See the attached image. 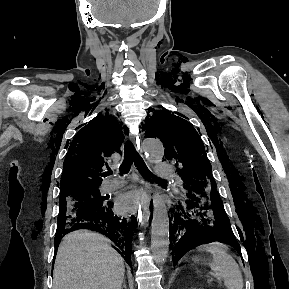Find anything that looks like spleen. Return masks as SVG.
I'll return each mask as SVG.
<instances>
[{
    "label": "spleen",
    "instance_id": "obj_1",
    "mask_svg": "<svg viewBox=\"0 0 289 289\" xmlns=\"http://www.w3.org/2000/svg\"><path fill=\"white\" fill-rule=\"evenodd\" d=\"M198 251L212 255L213 259L209 267L218 278L224 281L227 289H243V277L239 266L223 244L219 242L203 244L198 247Z\"/></svg>",
    "mask_w": 289,
    "mask_h": 289
}]
</instances>
